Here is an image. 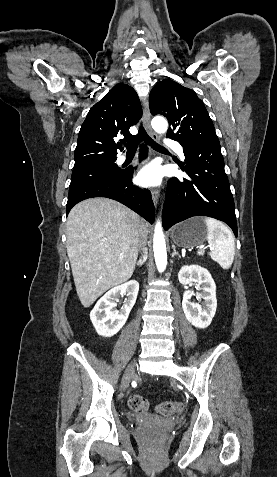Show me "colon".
Here are the masks:
<instances>
[{"label": "colon", "mask_w": 277, "mask_h": 477, "mask_svg": "<svg viewBox=\"0 0 277 477\" xmlns=\"http://www.w3.org/2000/svg\"><path fill=\"white\" fill-rule=\"evenodd\" d=\"M129 406L132 410L143 413L148 410L149 403L144 397L133 395L129 399ZM156 410L162 415L169 416L180 412L182 410V405L172 401H164L156 407Z\"/></svg>", "instance_id": "obj_1"}]
</instances>
